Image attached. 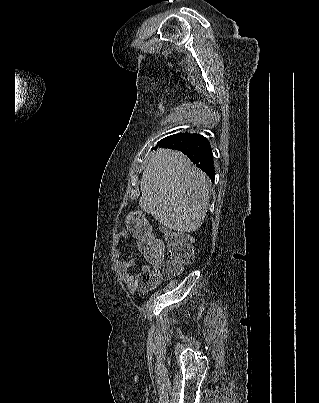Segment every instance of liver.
Returning <instances> with one entry per match:
<instances>
[{
  "label": "liver",
  "instance_id": "1",
  "mask_svg": "<svg viewBox=\"0 0 319 403\" xmlns=\"http://www.w3.org/2000/svg\"><path fill=\"white\" fill-rule=\"evenodd\" d=\"M209 185L206 174L184 154L159 149L143 172L139 206L171 230L194 232L206 216Z\"/></svg>",
  "mask_w": 319,
  "mask_h": 403
}]
</instances>
